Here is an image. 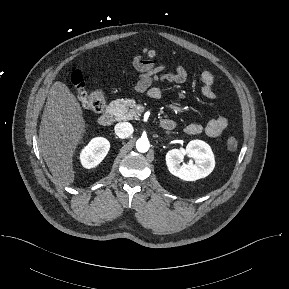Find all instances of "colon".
Wrapping results in <instances>:
<instances>
[{
    "mask_svg": "<svg viewBox=\"0 0 289 289\" xmlns=\"http://www.w3.org/2000/svg\"><path fill=\"white\" fill-rule=\"evenodd\" d=\"M144 54L149 58L157 57L153 50L146 49L144 50ZM71 81L76 90L77 98L84 108L94 112H101L104 110L106 102L103 93L98 90L87 91L80 72H74ZM226 145L229 151H235L238 146V141L235 137H229Z\"/></svg>",
    "mask_w": 289,
    "mask_h": 289,
    "instance_id": "5ec220e1",
    "label": "colon"
}]
</instances>
